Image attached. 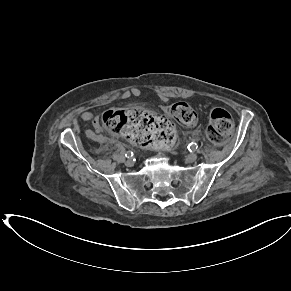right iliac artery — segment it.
<instances>
[{"instance_id":"right-iliac-artery-1","label":"right iliac artery","mask_w":291,"mask_h":291,"mask_svg":"<svg viewBox=\"0 0 291 291\" xmlns=\"http://www.w3.org/2000/svg\"><path fill=\"white\" fill-rule=\"evenodd\" d=\"M125 156H126L127 158H130V157L133 156V152H132V151H128V152L125 154Z\"/></svg>"}]
</instances>
